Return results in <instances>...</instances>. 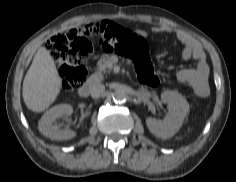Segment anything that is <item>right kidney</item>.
<instances>
[{"label": "right kidney", "instance_id": "obj_1", "mask_svg": "<svg viewBox=\"0 0 236 182\" xmlns=\"http://www.w3.org/2000/svg\"><path fill=\"white\" fill-rule=\"evenodd\" d=\"M72 112L73 108L68 104H60L50 108L39 121V131L52 140H69L74 138L76 136L74 131L68 128L60 129L57 125L53 124L56 118L71 115Z\"/></svg>", "mask_w": 236, "mask_h": 182}]
</instances>
